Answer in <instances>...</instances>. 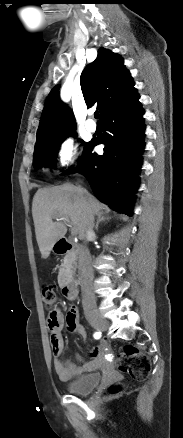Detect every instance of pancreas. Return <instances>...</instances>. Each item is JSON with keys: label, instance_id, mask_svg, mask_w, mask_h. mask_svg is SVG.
I'll use <instances>...</instances> for the list:
<instances>
[{"label": "pancreas", "instance_id": "pancreas-1", "mask_svg": "<svg viewBox=\"0 0 183 438\" xmlns=\"http://www.w3.org/2000/svg\"><path fill=\"white\" fill-rule=\"evenodd\" d=\"M74 261H75V257L71 253L67 254L64 257L63 263L60 267V272H59V277H58V281L60 284L63 282L64 274L66 273V269L70 268Z\"/></svg>", "mask_w": 183, "mask_h": 438}]
</instances>
